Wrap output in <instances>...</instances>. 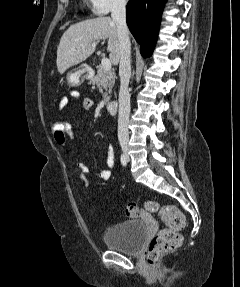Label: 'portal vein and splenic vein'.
<instances>
[{"instance_id": "1", "label": "portal vein and splenic vein", "mask_w": 240, "mask_h": 287, "mask_svg": "<svg viewBox=\"0 0 240 287\" xmlns=\"http://www.w3.org/2000/svg\"><path fill=\"white\" fill-rule=\"evenodd\" d=\"M101 64L104 70H110L112 67L111 61L108 58H103Z\"/></svg>"}]
</instances>
